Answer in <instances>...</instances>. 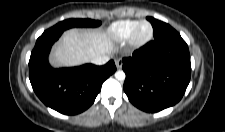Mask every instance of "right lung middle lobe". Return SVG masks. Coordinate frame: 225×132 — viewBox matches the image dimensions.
Segmentation results:
<instances>
[{
  "instance_id": "right-lung-middle-lobe-1",
  "label": "right lung middle lobe",
  "mask_w": 225,
  "mask_h": 132,
  "mask_svg": "<svg viewBox=\"0 0 225 132\" xmlns=\"http://www.w3.org/2000/svg\"><path fill=\"white\" fill-rule=\"evenodd\" d=\"M101 24L100 21L91 20V19H68L62 22H59L52 28L48 29L50 31H64L72 27H97Z\"/></svg>"
}]
</instances>
